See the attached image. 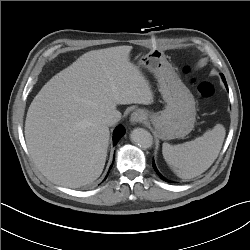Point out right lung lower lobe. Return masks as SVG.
<instances>
[{"label": "right lung lower lobe", "mask_w": 250, "mask_h": 250, "mask_svg": "<svg viewBox=\"0 0 250 250\" xmlns=\"http://www.w3.org/2000/svg\"><path fill=\"white\" fill-rule=\"evenodd\" d=\"M125 134V129L123 126L119 125L115 130L113 134V144L115 145L119 139ZM112 167V166H111ZM110 167V168H111Z\"/></svg>", "instance_id": "obj_1"}]
</instances>
